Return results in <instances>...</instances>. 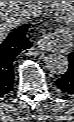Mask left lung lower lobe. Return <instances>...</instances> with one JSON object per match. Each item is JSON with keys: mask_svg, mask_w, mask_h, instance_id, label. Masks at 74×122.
Wrapping results in <instances>:
<instances>
[{"mask_svg": "<svg viewBox=\"0 0 74 122\" xmlns=\"http://www.w3.org/2000/svg\"><path fill=\"white\" fill-rule=\"evenodd\" d=\"M68 71L56 80L57 89L65 95L74 96V53L69 55Z\"/></svg>", "mask_w": 74, "mask_h": 122, "instance_id": "0a47b994", "label": "left lung lower lobe"}]
</instances>
